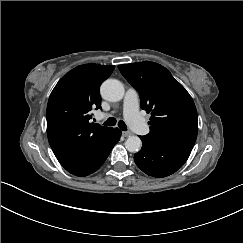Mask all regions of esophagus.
<instances>
[{"mask_svg":"<svg viewBox=\"0 0 243 243\" xmlns=\"http://www.w3.org/2000/svg\"><path fill=\"white\" fill-rule=\"evenodd\" d=\"M133 133L131 132V131H123L122 132V136L123 137H127V136H130V135H132Z\"/></svg>","mask_w":243,"mask_h":243,"instance_id":"1","label":"esophagus"}]
</instances>
